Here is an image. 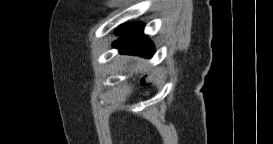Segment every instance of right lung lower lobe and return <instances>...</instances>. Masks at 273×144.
<instances>
[{"label": "right lung lower lobe", "instance_id": "98d812e1", "mask_svg": "<svg viewBox=\"0 0 273 144\" xmlns=\"http://www.w3.org/2000/svg\"><path fill=\"white\" fill-rule=\"evenodd\" d=\"M141 25V22H134L120 26L116 31L120 39L114 43V47L121 53L152 57L155 51L154 45L143 34Z\"/></svg>", "mask_w": 273, "mask_h": 144}]
</instances>
